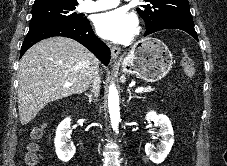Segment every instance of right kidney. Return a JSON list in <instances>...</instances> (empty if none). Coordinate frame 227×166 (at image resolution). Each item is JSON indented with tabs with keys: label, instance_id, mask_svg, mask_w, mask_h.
<instances>
[{
	"label": "right kidney",
	"instance_id": "ca27d5eb",
	"mask_svg": "<svg viewBox=\"0 0 227 166\" xmlns=\"http://www.w3.org/2000/svg\"><path fill=\"white\" fill-rule=\"evenodd\" d=\"M70 121V118H66L58 125L54 139L56 154L63 162L71 160L76 151L75 146L70 139Z\"/></svg>",
	"mask_w": 227,
	"mask_h": 166
}]
</instances>
